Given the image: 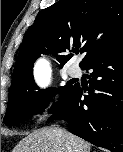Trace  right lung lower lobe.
I'll list each match as a JSON object with an SVG mask.
<instances>
[{
  "mask_svg": "<svg viewBox=\"0 0 123 152\" xmlns=\"http://www.w3.org/2000/svg\"><path fill=\"white\" fill-rule=\"evenodd\" d=\"M91 70L88 95L76 86L64 106L48 122L64 119L70 132L109 149L123 152V38L97 53L84 67Z\"/></svg>",
  "mask_w": 123,
  "mask_h": 152,
  "instance_id": "right-lung-lower-lobe-1",
  "label": "right lung lower lobe"
}]
</instances>
